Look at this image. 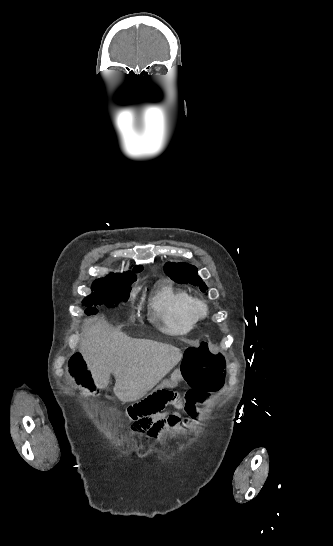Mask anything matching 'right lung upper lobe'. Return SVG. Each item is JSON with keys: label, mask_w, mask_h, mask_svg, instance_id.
I'll use <instances>...</instances> for the list:
<instances>
[{"label": "right lung upper lobe", "mask_w": 333, "mask_h": 546, "mask_svg": "<svg viewBox=\"0 0 333 546\" xmlns=\"http://www.w3.org/2000/svg\"><path fill=\"white\" fill-rule=\"evenodd\" d=\"M143 270V267L141 265L135 266L132 271H127L126 273L129 275L135 274L137 272H140Z\"/></svg>", "instance_id": "cb5924a9"}]
</instances>
